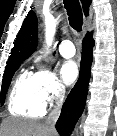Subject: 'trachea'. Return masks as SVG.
<instances>
[{
	"instance_id": "trachea-1",
	"label": "trachea",
	"mask_w": 117,
	"mask_h": 136,
	"mask_svg": "<svg viewBox=\"0 0 117 136\" xmlns=\"http://www.w3.org/2000/svg\"><path fill=\"white\" fill-rule=\"evenodd\" d=\"M63 4L67 10L70 26L79 34L83 24V14L79 0H64Z\"/></svg>"
}]
</instances>
